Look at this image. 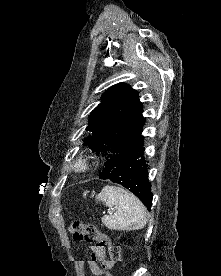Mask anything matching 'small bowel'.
<instances>
[{"label": "small bowel", "instance_id": "1", "mask_svg": "<svg viewBox=\"0 0 221 276\" xmlns=\"http://www.w3.org/2000/svg\"><path fill=\"white\" fill-rule=\"evenodd\" d=\"M108 258L105 250L96 246H91V259L89 261V268L91 272L97 276H112L108 272Z\"/></svg>", "mask_w": 221, "mask_h": 276}]
</instances>
